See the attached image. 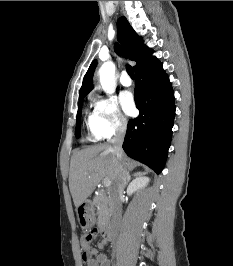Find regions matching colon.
<instances>
[{
    "mask_svg": "<svg viewBox=\"0 0 233 266\" xmlns=\"http://www.w3.org/2000/svg\"><path fill=\"white\" fill-rule=\"evenodd\" d=\"M98 235V231L97 229H92L91 231H89L87 234H85L83 236V241L86 242V243H89L90 241H92L93 239H95ZM82 251H83V254L85 257L87 256V252H86V249L82 247Z\"/></svg>",
    "mask_w": 233,
    "mask_h": 266,
    "instance_id": "5ec220e1",
    "label": "colon"
}]
</instances>
